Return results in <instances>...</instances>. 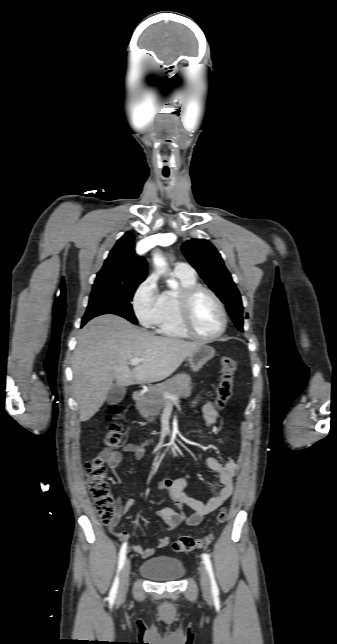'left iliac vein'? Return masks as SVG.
Masks as SVG:
<instances>
[{
    "instance_id": "left-iliac-vein-1",
    "label": "left iliac vein",
    "mask_w": 337,
    "mask_h": 644,
    "mask_svg": "<svg viewBox=\"0 0 337 644\" xmlns=\"http://www.w3.org/2000/svg\"><path fill=\"white\" fill-rule=\"evenodd\" d=\"M200 571V579H201V586L205 594H210L211 593V583H210V578L208 571L204 565H201L199 568Z\"/></svg>"
}]
</instances>
